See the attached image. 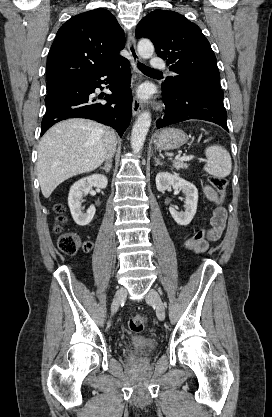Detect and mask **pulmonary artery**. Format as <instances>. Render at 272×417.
Instances as JSON below:
<instances>
[{"label":"pulmonary artery","mask_w":272,"mask_h":417,"mask_svg":"<svg viewBox=\"0 0 272 417\" xmlns=\"http://www.w3.org/2000/svg\"><path fill=\"white\" fill-rule=\"evenodd\" d=\"M151 67L155 70L164 69L166 67V64L161 58L154 57L151 60Z\"/></svg>","instance_id":"obj_1"}]
</instances>
